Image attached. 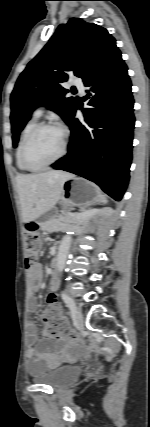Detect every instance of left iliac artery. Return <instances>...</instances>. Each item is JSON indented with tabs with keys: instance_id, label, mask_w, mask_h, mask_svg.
Masks as SVG:
<instances>
[{
	"instance_id": "left-iliac-artery-1",
	"label": "left iliac artery",
	"mask_w": 150,
	"mask_h": 427,
	"mask_svg": "<svg viewBox=\"0 0 150 427\" xmlns=\"http://www.w3.org/2000/svg\"><path fill=\"white\" fill-rule=\"evenodd\" d=\"M61 298L68 305V307L70 308L71 315L72 317H74L76 312V305L74 300L70 298L65 292L61 293Z\"/></svg>"
}]
</instances>
